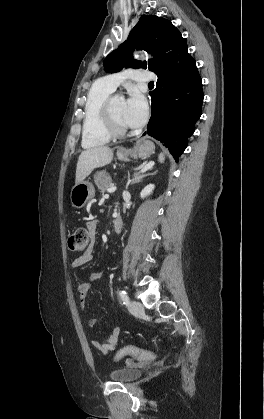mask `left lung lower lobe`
<instances>
[{"label": "left lung lower lobe", "mask_w": 264, "mask_h": 419, "mask_svg": "<svg viewBox=\"0 0 264 419\" xmlns=\"http://www.w3.org/2000/svg\"><path fill=\"white\" fill-rule=\"evenodd\" d=\"M152 97L148 135L160 140L178 161L195 130L203 103L202 80L187 40L180 35L162 53Z\"/></svg>", "instance_id": "left-lung-lower-lobe-1"}]
</instances>
